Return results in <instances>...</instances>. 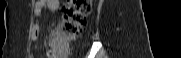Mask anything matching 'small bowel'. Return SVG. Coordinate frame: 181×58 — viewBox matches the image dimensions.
I'll use <instances>...</instances> for the list:
<instances>
[{
	"mask_svg": "<svg viewBox=\"0 0 181 58\" xmlns=\"http://www.w3.org/2000/svg\"><path fill=\"white\" fill-rule=\"evenodd\" d=\"M59 0H37L35 2L34 11L36 17H40L45 11H56L59 9ZM40 33V26L38 23L35 24L33 30V37L37 39Z\"/></svg>",
	"mask_w": 181,
	"mask_h": 58,
	"instance_id": "small-bowel-1",
	"label": "small bowel"
}]
</instances>
